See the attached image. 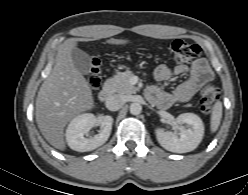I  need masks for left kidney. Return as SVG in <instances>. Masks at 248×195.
I'll list each match as a JSON object with an SVG mask.
<instances>
[{"mask_svg": "<svg viewBox=\"0 0 248 195\" xmlns=\"http://www.w3.org/2000/svg\"><path fill=\"white\" fill-rule=\"evenodd\" d=\"M183 124L187 127L182 126ZM176 125L178 132L156 130L159 144L175 153H186L197 148L204 134L201 118L193 113H183L176 118Z\"/></svg>", "mask_w": 248, "mask_h": 195, "instance_id": "1", "label": "left kidney"}]
</instances>
